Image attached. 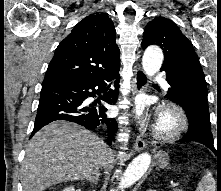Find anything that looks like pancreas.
<instances>
[{"mask_svg":"<svg viewBox=\"0 0 221 191\" xmlns=\"http://www.w3.org/2000/svg\"><path fill=\"white\" fill-rule=\"evenodd\" d=\"M173 191H182L181 189H174Z\"/></svg>","mask_w":221,"mask_h":191,"instance_id":"cf45deb5","label":"pancreas"}]
</instances>
